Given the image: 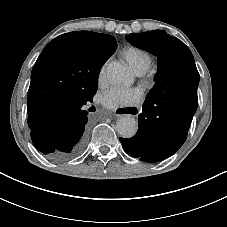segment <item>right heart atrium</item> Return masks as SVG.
<instances>
[{"label": "right heart atrium", "mask_w": 227, "mask_h": 227, "mask_svg": "<svg viewBox=\"0 0 227 227\" xmlns=\"http://www.w3.org/2000/svg\"><path fill=\"white\" fill-rule=\"evenodd\" d=\"M106 65L107 62H104L98 70L97 81L99 85L104 84L106 81Z\"/></svg>", "instance_id": "1"}]
</instances>
